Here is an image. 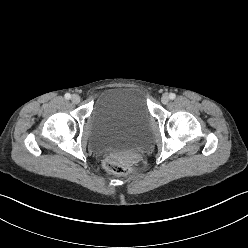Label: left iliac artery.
Here are the masks:
<instances>
[{"instance_id":"obj_1","label":"left iliac artery","mask_w":248,"mask_h":248,"mask_svg":"<svg viewBox=\"0 0 248 248\" xmlns=\"http://www.w3.org/2000/svg\"><path fill=\"white\" fill-rule=\"evenodd\" d=\"M169 97H170V99H175L176 98V95H175V93H170V95H169Z\"/></svg>"}]
</instances>
